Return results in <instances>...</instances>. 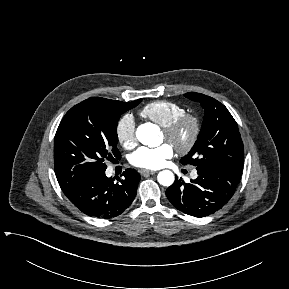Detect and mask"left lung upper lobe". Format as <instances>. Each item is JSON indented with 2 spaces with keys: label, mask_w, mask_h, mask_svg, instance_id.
<instances>
[{
  "label": "left lung upper lobe",
  "mask_w": 289,
  "mask_h": 289,
  "mask_svg": "<svg viewBox=\"0 0 289 289\" xmlns=\"http://www.w3.org/2000/svg\"><path fill=\"white\" fill-rule=\"evenodd\" d=\"M184 96L199 102L205 115L197 141L180 162L197 167L220 164L243 169V142L237 123L227 108L201 93L189 92Z\"/></svg>",
  "instance_id": "5c2ea615"
}]
</instances>
